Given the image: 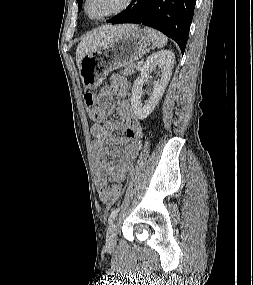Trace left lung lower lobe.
Returning a JSON list of instances; mask_svg holds the SVG:
<instances>
[{
	"mask_svg": "<svg viewBox=\"0 0 253 285\" xmlns=\"http://www.w3.org/2000/svg\"><path fill=\"white\" fill-rule=\"evenodd\" d=\"M196 0H133L108 23H140L175 40L184 53Z\"/></svg>",
	"mask_w": 253,
	"mask_h": 285,
	"instance_id": "1",
	"label": "left lung lower lobe"
}]
</instances>
